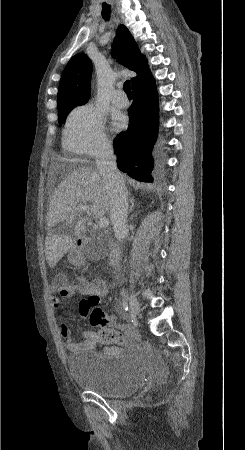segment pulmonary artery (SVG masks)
<instances>
[{"mask_svg":"<svg viewBox=\"0 0 245 450\" xmlns=\"http://www.w3.org/2000/svg\"><path fill=\"white\" fill-rule=\"evenodd\" d=\"M112 102L119 107H125L127 105L128 99L121 87H118L113 92Z\"/></svg>","mask_w":245,"mask_h":450,"instance_id":"e3ab8cb5","label":"pulmonary artery"}]
</instances>
